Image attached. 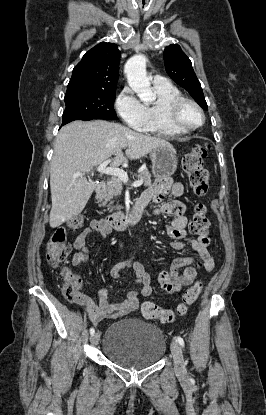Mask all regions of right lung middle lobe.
Segmentation results:
<instances>
[{
	"label": "right lung middle lobe",
	"instance_id": "obj_1",
	"mask_svg": "<svg viewBox=\"0 0 266 415\" xmlns=\"http://www.w3.org/2000/svg\"><path fill=\"white\" fill-rule=\"evenodd\" d=\"M116 90H78L66 92V108L63 113L64 121L106 119L114 120L117 115L114 110Z\"/></svg>",
	"mask_w": 266,
	"mask_h": 415
}]
</instances>
